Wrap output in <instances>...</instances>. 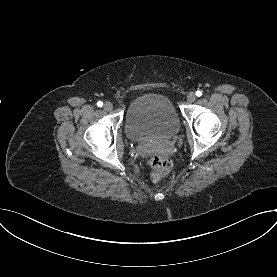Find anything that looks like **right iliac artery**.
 I'll list each match as a JSON object with an SVG mask.
<instances>
[{
  "label": "right iliac artery",
  "instance_id": "obj_1",
  "mask_svg": "<svg viewBox=\"0 0 277 277\" xmlns=\"http://www.w3.org/2000/svg\"><path fill=\"white\" fill-rule=\"evenodd\" d=\"M97 106H98V107H102V106H103V103H102L101 101H98V102H97Z\"/></svg>",
  "mask_w": 277,
  "mask_h": 277
}]
</instances>
